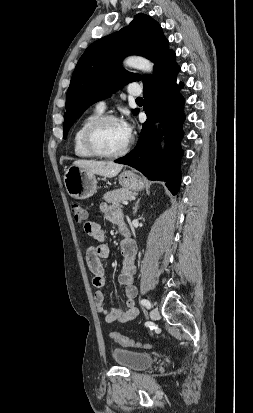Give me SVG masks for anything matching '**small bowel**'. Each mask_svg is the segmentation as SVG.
I'll list each match as a JSON object with an SVG mask.
<instances>
[{
	"label": "small bowel",
	"instance_id": "small-bowel-1",
	"mask_svg": "<svg viewBox=\"0 0 253 413\" xmlns=\"http://www.w3.org/2000/svg\"><path fill=\"white\" fill-rule=\"evenodd\" d=\"M97 211L106 220L115 224L124 236L123 232L127 226L123 214L118 207L101 203ZM84 231L98 242L97 245L88 246L85 251L86 263L92 273V283L98 289L94 294V301L98 312L108 323H126L133 320L138 315V310L135 306L137 288L134 285L137 271L135 264L137 249L135 243L124 236L120 244L122 258L118 282L124 289L125 306L107 309L105 306V294L103 292L107 284V278L102 259L109 256L110 249L105 243L104 232L97 222L86 221L84 223Z\"/></svg>",
	"mask_w": 253,
	"mask_h": 413
}]
</instances>
